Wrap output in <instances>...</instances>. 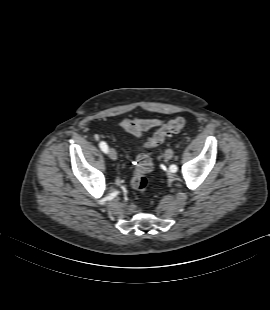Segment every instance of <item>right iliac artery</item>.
Instances as JSON below:
<instances>
[{"mask_svg": "<svg viewBox=\"0 0 270 310\" xmlns=\"http://www.w3.org/2000/svg\"><path fill=\"white\" fill-rule=\"evenodd\" d=\"M99 146H100L101 150H102L104 153H107V152H108V146H107V144H106L104 141H101V142L99 143Z\"/></svg>", "mask_w": 270, "mask_h": 310, "instance_id": "1", "label": "right iliac artery"}]
</instances>
